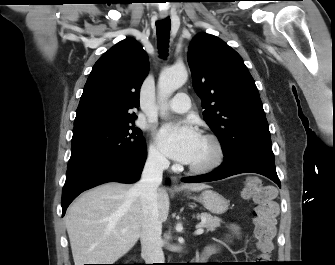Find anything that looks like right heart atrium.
<instances>
[{"instance_id": "d8ad5b80", "label": "right heart atrium", "mask_w": 335, "mask_h": 265, "mask_svg": "<svg viewBox=\"0 0 335 265\" xmlns=\"http://www.w3.org/2000/svg\"><path fill=\"white\" fill-rule=\"evenodd\" d=\"M148 162L156 168H165L168 165V161L163 154L160 147L152 142L148 149Z\"/></svg>"}]
</instances>
